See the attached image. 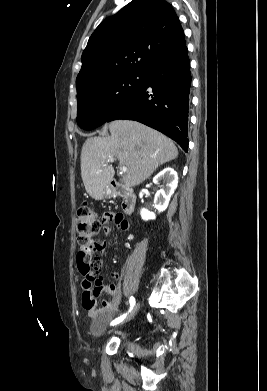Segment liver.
<instances>
[{
	"label": "liver",
	"instance_id": "1",
	"mask_svg": "<svg viewBox=\"0 0 267 391\" xmlns=\"http://www.w3.org/2000/svg\"><path fill=\"white\" fill-rule=\"evenodd\" d=\"M108 128L110 136L88 138L81 151L82 181L94 199H102L103 190L113 180L115 171L108 162L110 157L118 158L127 167L123 182L133 187L178 156L172 140L141 123L116 120Z\"/></svg>",
	"mask_w": 267,
	"mask_h": 391
}]
</instances>
